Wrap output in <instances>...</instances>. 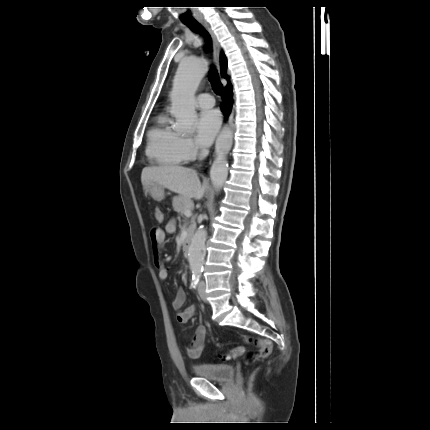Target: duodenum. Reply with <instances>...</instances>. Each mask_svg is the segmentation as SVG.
<instances>
[{"mask_svg":"<svg viewBox=\"0 0 430 430\" xmlns=\"http://www.w3.org/2000/svg\"><path fill=\"white\" fill-rule=\"evenodd\" d=\"M190 249H191V237L187 236L184 241H183V245H182V250L185 256H188L190 253Z\"/></svg>","mask_w":430,"mask_h":430,"instance_id":"duodenum-1","label":"duodenum"}]
</instances>
